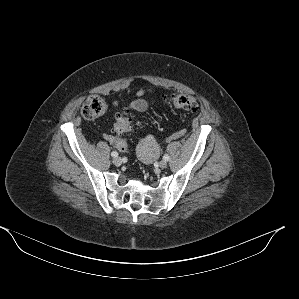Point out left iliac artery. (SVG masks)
<instances>
[{
	"label": "left iliac artery",
	"mask_w": 299,
	"mask_h": 299,
	"mask_svg": "<svg viewBox=\"0 0 299 299\" xmlns=\"http://www.w3.org/2000/svg\"><path fill=\"white\" fill-rule=\"evenodd\" d=\"M163 159H164L165 161H169V160H170V156L166 154V155L163 156Z\"/></svg>",
	"instance_id": "1"
}]
</instances>
